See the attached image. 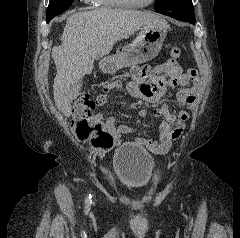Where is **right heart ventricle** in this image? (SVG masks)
Here are the masks:
<instances>
[{
	"mask_svg": "<svg viewBox=\"0 0 240 238\" xmlns=\"http://www.w3.org/2000/svg\"><path fill=\"white\" fill-rule=\"evenodd\" d=\"M97 5L101 7H107V8H116V7H122L117 0H96L95 2Z\"/></svg>",
	"mask_w": 240,
	"mask_h": 238,
	"instance_id": "right-heart-ventricle-1",
	"label": "right heart ventricle"
}]
</instances>
